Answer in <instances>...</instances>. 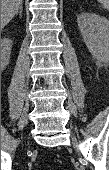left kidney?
<instances>
[{"instance_id":"5707ae66","label":"left kidney","mask_w":109,"mask_h":170,"mask_svg":"<svg viewBox=\"0 0 109 170\" xmlns=\"http://www.w3.org/2000/svg\"><path fill=\"white\" fill-rule=\"evenodd\" d=\"M77 23L83 41L98 63H107L109 59V21L94 13H81Z\"/></svg>"}]
</instances>
